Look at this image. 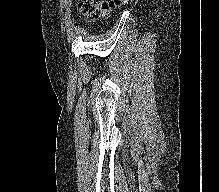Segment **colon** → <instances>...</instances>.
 Wrapping results in <instances>:
<instances>
[{
    "label": "colon",
    "mask_w": 219,
    "mask_h": 192,
    "mask_svg": "<svg viewBox=\"0 0 219 192\" xmlns=\"http://www.w3.org/2000/svg\"><path fill=\"white\" fill-rule=\"evenodd\" d=\"M131 0H80L77 12L86 21L108 16L116 7Z\"/></svg>",
    "instance_id": "colon-1"
}]
</instances>
